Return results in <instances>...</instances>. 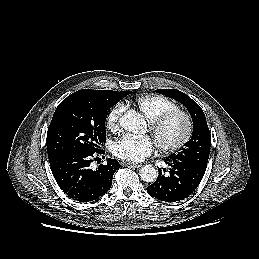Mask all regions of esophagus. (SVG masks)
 I'll return each instance as SVG.
<instances>
[{
  "label": "esophagus",
  "instance_id": "34e87169",
  "mask_svg": "<svg viewBox=\"0 0 259 259\" xmlns=\"http://www.w3.org/2000/svg\"><path fill=\"white\" fill-rule=\"evenodd\" d=\"M124 165L131 166L133 168H140L142 166L141 164L130 163V162H124Z\"/></svg>",
  "mask_w": 259,
  "mask_h": 259
}]
</instances>
